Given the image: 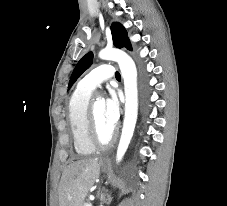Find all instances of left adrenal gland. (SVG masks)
Instances as JSON below:
<instances>
[{
	"label": "left adrenal gland",
	"instance_id": "a2214340",
	"mask_svg": "<svg viewBox=\"0 0 227 206\" xmlns=\"http://www.w3.org/2000/svg\"><path fill=\"white\" fill-rule=\"evenodd\" d=\"M102 200H103V203L105 202V199L104 198H102Z\"/></svg>",
	"mask_w": 227,
	"mask_h": 206
}]
</instances>
